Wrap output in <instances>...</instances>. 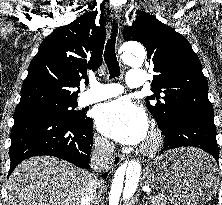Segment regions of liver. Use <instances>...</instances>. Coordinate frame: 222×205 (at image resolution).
<instances>
[{
    "label": "liver",
    "instance_id": "obj_1",
    "mask_svg": "<svg viewBox=\"0 0 222 205\" xmlns=\"http://www.w3.org/2000/svg\"><path fill=\"white\" fill-rule=\"evenodd\" d=\"M90 174L52 156L19 164L8 179L6 205H80Z\"/></svg>",
    "mask_w": 222,
    "mask_h": 205
}]
</instances>
